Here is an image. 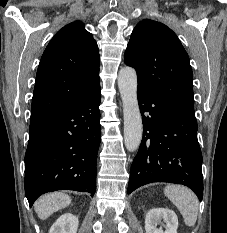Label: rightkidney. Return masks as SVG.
<instances>
[{
  "label": "right kidney",
  "instance_id": "ca27d5eb",
  "mask_svg": "<svg viewBox=\"0 0 227 233\" xmlns=\"http://www.w3.org/2000/svg\"><path fill=\"white\" fill-rule=\"evenodd\" d=\"M78 218L71 213L61 215L50 228L49 233H77Z\"/></svg>",
  "mask_w": 227,
  "mask_h": 233
}]
</instances>
